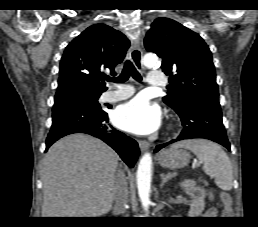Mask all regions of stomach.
Wrapping results in <instances>:
<instances>
[{
	"label": "stomach",
	"mask_w": 258,
	"mask_h": 227,
	"mask_svg": "<svg viewBox=\"0 0 258 227\" xmlns=\"http://www.w3.org/2000/svg\"><path fill=\"white\" fill-rule=\"evenodd\" d=\"M190 154L179 148L163 150L158 156V162L165 168H181L186 166L190 160Z\"/></svg>",
	"instance_id": "1"
}]
</instances>
